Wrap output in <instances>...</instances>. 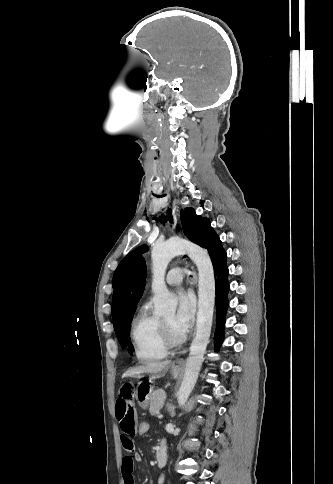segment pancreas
I'll return each instance as SVG.
<instances>
[{
	"label": "pancreas",
	"mask_w": 333,
	"mask_h": 484,
	"mask_svg": "<svg viewBox=\"0 0 333 484\" xmlns=\"http://www.w3.org/2000/svg\"><path fill=\"white\" fill-rule=\"evenodd\" d=\"M166 394L164 390L158 389L154 391L150 398V414L152 416L159 415V410L163 407Z\"/></svg>",
	"instance_id": "cf45deb5"
}]
</instances>
